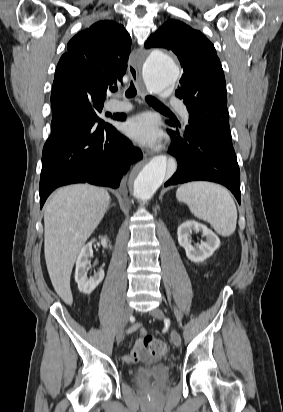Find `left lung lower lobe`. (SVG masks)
<instances>
[{"label":"left lung lower lobe","mask_w":283,"mask_h":412,"mask_svg":"<svg viewBox=\"0 0 283 412\" xmlns=\"http://www.w3.org/2000/svg\"><path fill=\"white\" fill-rule=\"evenodd\" d=\"M168 130L172 138L169 153L176 157L178 169L165 186L188 181L205 180L226 186L241 203L240 170L233 146L211 137L203 128L189 124L178 130Z\"/></svg>","instance_id":"left-lung-lower-lobe-1"}]
</instances>
